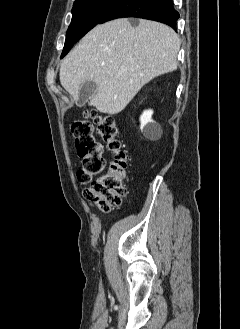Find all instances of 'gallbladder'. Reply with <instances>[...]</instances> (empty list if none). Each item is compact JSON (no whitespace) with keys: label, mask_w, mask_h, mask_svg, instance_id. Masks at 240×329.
Masks as SVG:
<instances>
[{"label":"gallbladder","mask_w":240,"mask_h":329,"mask_svg":"<svg viewBox=\"0 0 240 329\" xmlns=\"http://www.w3.org/2000/svg\"><path fill=\"white\" fill-rule=\"evenodd\" d=\"M97 89L94 81H86L80 86L78 105L82 106L87 103L95 94Z\"/></svg>","instance_id":"bac80fb5"}]
</instances>
